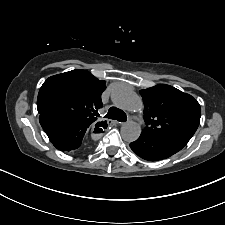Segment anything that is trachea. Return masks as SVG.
<instances>
[{"instance_id":"1","label":"trachea","mask_w":225,"mask_h":225,"mask_svg":"<svg viewBox=\"0 0 225 225\" xmlns=\"http://www.w3.org/2000/svg\"><path fill=\"white\" fill-rule=\"evenodd\" d=\"M104 117L109 119H114L120 122H125L127 120V116L124 113V111L116 107H111L108 113Z\"/></svg>"}]
</instances>
